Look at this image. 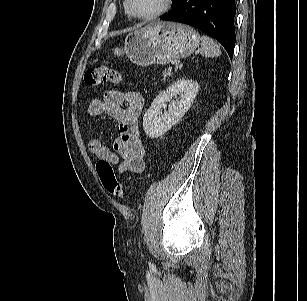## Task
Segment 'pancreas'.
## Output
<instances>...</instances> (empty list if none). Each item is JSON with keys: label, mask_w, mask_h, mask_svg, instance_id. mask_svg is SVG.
Listing matches in <instances>:
<instances>
[{"label": "pancreas", "mask_w": 307, "mask_h": 301, "mask_svg": "<svg viewBox=\"0 0 307 301\" xmlns=\"http://www.w3.org/2000/svg\"><path fill=\"white\" fill-rule=\"evenodd\" d=\"M163 77L166 78V77H170L172 75V72L170 69L168 70H164L163 73H162Z\"/></svg>", "instance_id": "cf45deb5"}]
</instances>
